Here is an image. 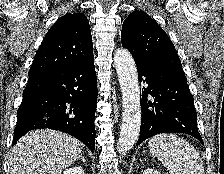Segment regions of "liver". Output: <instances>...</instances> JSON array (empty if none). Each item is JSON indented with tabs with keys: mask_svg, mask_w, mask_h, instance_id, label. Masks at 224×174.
<instances>
[{
	"mask_svg": "<svg viewBox=\"0 0 224 174\" xmlns=\"http://www.w3.org/2000/svg\"><path fill=\"white\" fill-rule=\"evenodd\" d=\"M82 152V144L61 131L38 129L26 133L14 145L10 174H60Z\"/></svg>",
	"mask_w": 224,
	"mask_h": 174,
	"instance_id": "1",
	"label": "liver"
}]
</instances>
